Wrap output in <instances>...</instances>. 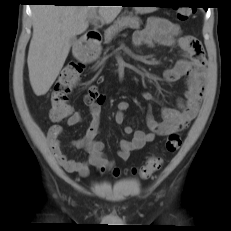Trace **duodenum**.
Returning a JSON list of instances; mask_svg holds the SVG:
<instances>
[{
  "instance_id": "1",
  "label": "duodenum",
  "mask_w": 231,
  "mask_h": 231,
  "mask_svg": "<svg viewBox=\"0 0 231 231\" xmlns=\"http://www.w3.org/2000/svg\"><path fill=\"white\" fill-rule=\"evenodd\" d=\"M101 40V35L99 32L97 31H87L84 34V42L89 44V45H95L97 44L99 41ZM87 49L83 48V49H77V53L78 54H85L87 53Z\"/></svg>"
}]
</instances>
